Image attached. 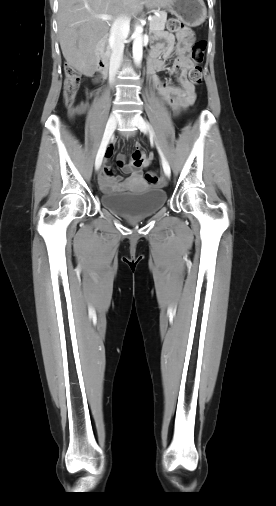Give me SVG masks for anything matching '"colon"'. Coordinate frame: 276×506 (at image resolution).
I'll list each match as a JSON object with an SVG mask.
<instances>
[{
    "label": "colon",
    "mask_w": 276,
    "mask_h": 506,
    "mask_svg": "<svg viewBox=\"0 0 276 506\" xmlns=\"http://www.w3.org/2000/svg\"><path fill=\"white\" fill-rule=\"evenodd\" d=\"M168 30L174 33H180L186 27L178 18H170L167 24ZM206 48V42L199 40L194 43L191 50L192 67L188 72V80L195 85L202 82L203 61ZM80 73L71 66L65 67V80L63 88V100L71 114H75L78 110L74 109L75 99L80 86ZM145 180L151 185H159L162 183L161 175L156 171H150L145 174Z\"/></svg>",
    "instance_id": "obj_1"
}]
</instances>
